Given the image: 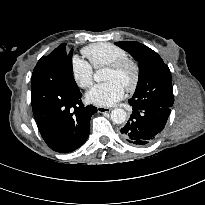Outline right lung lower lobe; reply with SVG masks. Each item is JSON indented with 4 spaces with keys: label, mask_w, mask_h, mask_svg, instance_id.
Here are the masks:
<instances>
[{
    "label": "right lung lower lobe",
    "mask_w": 205,
    "mask_h": 205,
    "mask_svg": "<svg viewBox=\"0 0 205 205\" xmlns=\"http://www.w3.org/2000/svg\"><path fill=\"white\" fill-rule=\"evenodd\" d=\"M72 53L60 45L36 65L31 78L34 117L46 144L54 151L68 153L87 140L89 121L97 108L84 106L72 74Z\"/></svg>",
    "instance_id": "98d812e1"
}]
</instances>
